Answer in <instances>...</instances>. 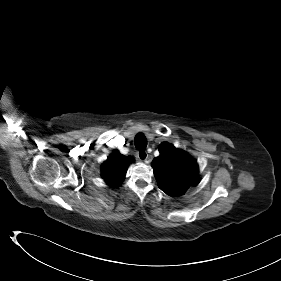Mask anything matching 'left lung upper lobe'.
I'll return each mask as SVG.
<instances>
[{"label": "left lung upper lobe", "mask_w": 281, "mask_h": 281, "mask_svg": "<svg viewBox=\"0 0 281 281\" xmlns=\"http://www.w3.org/2000/svg\"><path fill=\"white\" fill-rule=\"evenodd\" d=\"M160 156L152 167L161 190L170 196H181L198 181L197 162L185 151L164 142L159 145Z\"/></svg>", "instance_id": "1"}]
</instances>
